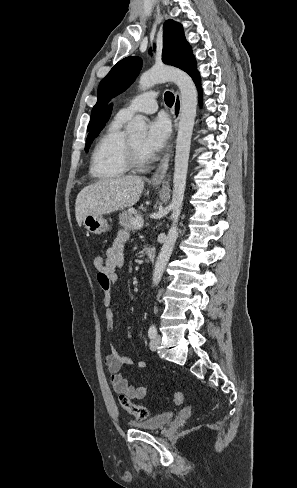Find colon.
I'll return each instance as SVG.
<instances>
[{
  "mask_svg": "<svg viewBox=\"0 0 297 488\" xmlns=\"http://www.w3.org/2000/svg\"><path fill=\"white\" fill-rule=\"evenodd\" d=\"M94 267L100 270L104 265V258L97 255L93 259ZM183 401V394L177 392L174 395V403L180 405ZM119 402L122 408L129 414L133 415L137 420H146L149 417V411L146 407L141 405H136L129 398L124 395L119 396Z\"/></svg>",
  "mask_w": 297,
  "mask_h": 488,
  "instance_id": "1",
  "label": "colon"
}]
</instances>
